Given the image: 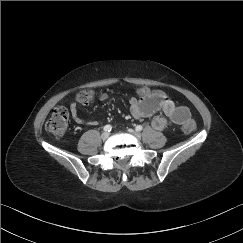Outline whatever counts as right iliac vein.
I'll return each instance as SVG.
<instances>
[{
	"label": "right iliac vein",
	"mask_w": 243,
	"mask_h": 243,
	"mask_svg": "<svg viewBox=\"0 0 243 243\" xmlns=\"http://www.w3.org/2000/svg\"><path fill=\"white\" fill-rule=\"evenodd\" d=\"M108 137H109V133H108V132H103V133L101 134V138H102L103 140H106Z\"/></svg>",
	"instance_id": "right-iliac-vein-1"
}]
</instances>
